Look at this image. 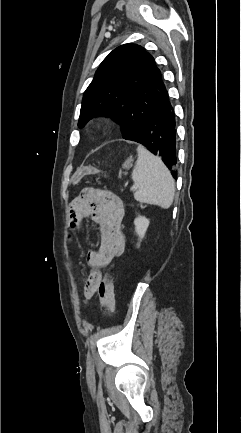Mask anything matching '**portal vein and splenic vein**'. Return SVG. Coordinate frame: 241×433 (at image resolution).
<instances>
[{"mask_svg":"<svg viewBox=\"0 0 241 433\" xmlns=\"http://www.w3.org/2000/svg\"><path fill=\"white\" fill-rule=\"evenodd\" d=\"M138 187L137 186H133V189L136 190Z\"/></svg>","mask_w":241,"mask_h":433,"instance_id":"18ae733b","label":"portal vein and splenic vein"}]
</instances>
